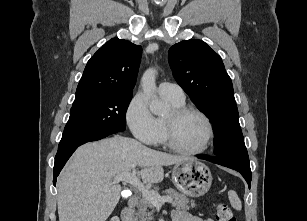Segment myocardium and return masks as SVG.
<instances>
[{
	"label": "myocardium",
	"instance_id": "obj_1",
	"mask_svg": "<svg viewBox=\"0 0 307 221\" xmlns=\"http://www.w3.org/2000/svg\"><path fill=\"white\" fill-rule=\"evenodd\" d=\"M187 114H196L200 116L207 127V136L204 145L195 150H187L179 147L174 141V123L177 119L187 115ZM214 139V126L210 119V117L203 112L202 110L191 107V106H181V107H174L171 111V118H164V143L165 145L172 151L188 156H195L200 155L206 152Z\"/></svg>",
	"mask_w": 307,
	"mask_h": 221
}]
</instances>
